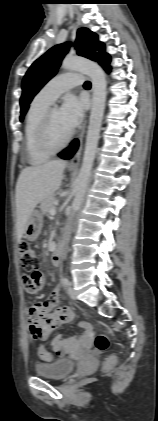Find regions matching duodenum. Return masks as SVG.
I'll use <instances>...</instances> for the list:
<instances>
[{"label": "duodenum", "instance_id": "duodenum-1", "mask_svg": "<svg viewBox=\"0 0 158 421\" xmlns=\"http://www.w3.org/2000/svg\"><path fill=\"white\" fill-rule=\"evenodd\" d=\"M61 255H62V251H61V247L60 246H56V248L53 251L52 254V263L55 266H58L61 262Z\"/></svg>", "mask_w": 158, "mask_h": 421}]
</instances>
